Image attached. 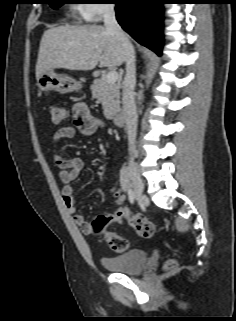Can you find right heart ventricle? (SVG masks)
<instances>
[{"label": "right heart ventricle", "instance_id": "1", "mask_svg": "<svg viewBox=\"0 0 236 321\" xmlns=\"http://www.w3.org/2000/svg\"><path fill=\"white\" fill-rule=\"evenodd\" d=\"M74 9H75V11H76L78 14H80V15H81L82 6L77 5Z\"/></svg>", "mask_w": 236, "mask_h": 321}]
</instances>
